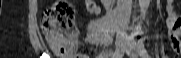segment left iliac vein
<instances>
[{
  "label": "left iliac vein",
  "mask_w": 181,
  "mask_h": 58,
  "mask_svg": "<svg viewBox=\"0 0 181 58\" xmlns=\"http://www.w3.org/2000/svg\"><path fill=\"white\" fill-rule=\"evenodd\" d=\"M126 53L132 58L137 57V45L132 37L127 40Z\"/></svg>",
  "instance_id": "left-iliac-vein-1"
}]
</instances>
